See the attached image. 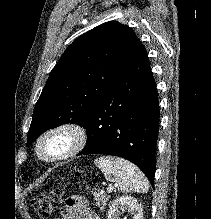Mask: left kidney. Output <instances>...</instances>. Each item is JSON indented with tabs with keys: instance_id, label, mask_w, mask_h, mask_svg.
<instances>
[{
	"instance_id": "5707ae66",
	"label": "left kidney",
	"mask_w": 211,
	"mask_h": 219,
	"mask_svg": "<svg viewBox=\"0 0 211 219\" xmlns=\"http://www.w3.org/2000/svg\"><path fill=\"white\" fill-rule=\"evenodd\" d=\"M125 212H128L132 219H143L142 206L131 196H123L114 200L109 207L108 219H121V215Z\"/></svg>"
}]
</instances>
